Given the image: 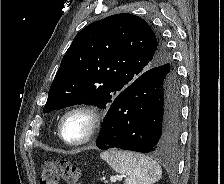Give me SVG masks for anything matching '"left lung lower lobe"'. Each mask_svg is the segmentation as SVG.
<instances>
[{
    "mask_svg": "<svg viewBox=\"0 0 224 184\" xmlns=\"http://www.w3.org/2000/svg\"><path fill=\"white\" fill-rule=\"evenodd\" d=\"M171 65L141 74L110 104L102 123L98 148L142 153H167L176 148L180 133V94Z\"/></svg>",
    "mask_w": 224,
    "mask_h": 184,
    "instance_id": "1",
    "label": "left lung lower lobe"
}]
</instances>
